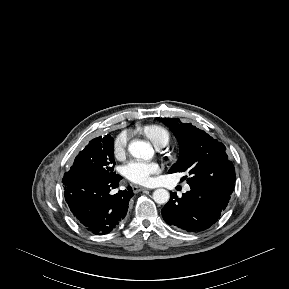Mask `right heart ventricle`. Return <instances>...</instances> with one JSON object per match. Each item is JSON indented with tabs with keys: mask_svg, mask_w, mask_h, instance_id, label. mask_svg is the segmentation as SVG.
Listing matches in <instances>:
<instances>
[{
	"mask_svg": "<svg viewBox=\"0 0 289 289\" xmlns=\"http://www.w3.org/2000/svg\"><path fill=\"white\" fill-rule=\"evenodd\" d=\"M143 134L153 143L154 146L159 144L166 145L169 142V132L159 125H149L142 129Z\"/></svg>",
	"mask_w": 289,
	"mask_h": 289,
	"instance_id": "1",
	"label": "right heart ventricle"
}]
</instances>
